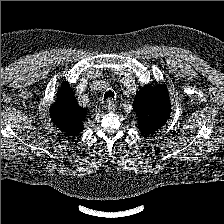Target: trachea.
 <instances>
[{"instance_id": "obj_1", "label": "trachea", "mask_w": 224, "mask_h": 224, "mask_svg": "<svg viewBox=\"0 0 224 224\" xmlns=\"http://www.w3.org/2000/svg\"><path fill=\"white\" fill-rule=\"evenodd\" d=\"M108 98H114V94L111 90L107 91L104 95V100H106Z\"/></svg>"}]
</instances>
